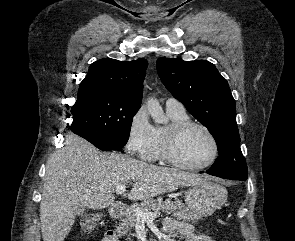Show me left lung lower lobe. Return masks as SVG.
I'll return each mask as SVG.
<instances>
[{"label":"left lung lower lobe","instance_id":"1","mask_svg":"<svg viewBox=\"0 0 295 241\" xmlns=\"http://www.w3.org/2000/svg\"><path fill=\"white\" fill-rule=\"evenodd\" d=\"M205 173L213 175V176H217V177H220V178H225V177L217 174L216 172H213V171H210V170L205 171ZM225 179H230V178H225ZM236 180H238V179H236Z\"/></svg>","mask_w":295,"mask_h":241}]
</instances>
